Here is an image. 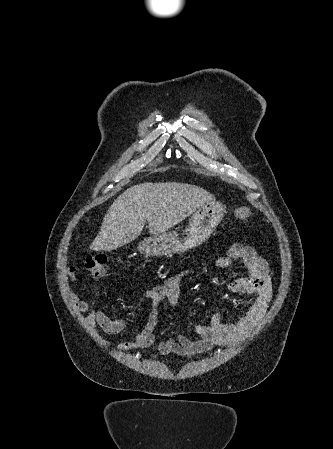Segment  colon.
<instances>
[{"label":"colon","mask_w":333,"mask_h":449,"mask_svg":"<svg viewBox=\"0 0 333 449\" xmlns=\"http://www.w3.org/2000/svg\"><path fill=\"white\" fill-rule=\"evenodd\" d=\"M234 216L236 219L241 221H246L251 217V210L247 206L238 207ZM108 257L104 254L88 255L84 258L83 264L85 269H87L93 275H102L106 271V264Z\"/></svg>","instance_id":"obj_1"}]
</instances>
